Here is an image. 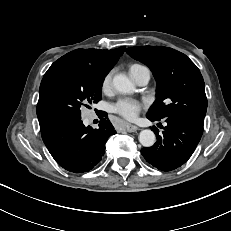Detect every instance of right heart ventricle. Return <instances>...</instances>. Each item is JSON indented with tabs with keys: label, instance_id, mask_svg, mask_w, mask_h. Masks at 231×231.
<instances>
[{
	"label": "right heart ventricle",
	"instance_id": "obj_1",
	"mask_svg": "<svg viewBox=\"0 0 231 231\" xmlns=\"http://www.w3.org/2000/svg\"><path fill=\"white\" fill-rule=\"evenodd\" d=\"M141 67H144V66H142L140 64H133L130 66L129 71L131 72L133 69L141 68Z\"/></svg>",
	"mask_w": 231,
	"mask_h": 231
}]
</instances>
